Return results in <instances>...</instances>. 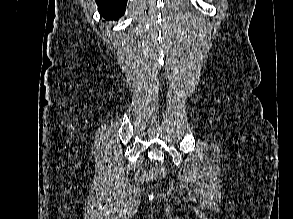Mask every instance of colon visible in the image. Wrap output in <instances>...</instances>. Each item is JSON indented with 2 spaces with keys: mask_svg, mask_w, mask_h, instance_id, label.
Masks as SVG:
<instances>
[{
  "mask_svg": "<svg viewBox=\"0 0 293 219\" xmlns=\"http://www.w3.org/2000/svg\"><path fill=\"white\" fill-rule=\"evenodd\" d=\"M165 170L163 168H155L149 171H140L136 175V181L139 184L148 183L163 178Z\"/></svg>",
  "mask_w": 293,
  "mask_h": 219,
  "instance_id": "5ec220e1",
  "label": "colon"
}]
</instances>
